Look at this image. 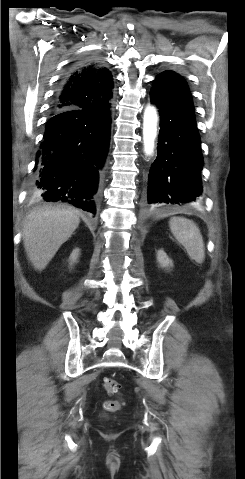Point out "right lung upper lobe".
Returning a JSON list of instances; mask_svg holds the SVG:
<instances>
[{
	"label": "right lung upper lobe",
	"instance_id": "obj_1",
	"mask_svg": "<svg viewBox=\"0 0 245 479\" xmlns=\"http://www.w3.org/2000/svg\"><path fill=\"white\" fill-rule=\"evenodd\" d=\"M113 87L108 69L96 62H83L67 75L56 96L53 112L108 104L113 99Z\"/></svg>",
	"mask_w": 245,
	"mask_h": 479
}]
</instances>
